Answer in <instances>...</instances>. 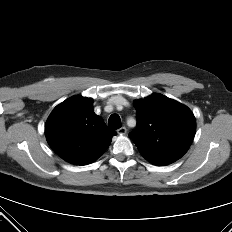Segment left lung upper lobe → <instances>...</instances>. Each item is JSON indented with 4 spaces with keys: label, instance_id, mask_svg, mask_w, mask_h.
I'll list each match as a JSON object with an SVG mask.
<instances>
[{
    "label": "left lung upper lobe",
    "instance_id": "5c2ea615",
    "mask_svg": "<svg viewBox=\"0 0 232 232\" xmlns=\"http://www.w3.org/2000/svg\"><path fill=\"white\" fill-rule=\"evenodd\" d=\"M137 130L129 134L141 155L154 165H168L189 149L196 120L183 104L161 94L134 102Z\"/></svg>",
    "mask_w": 232,
    "mask_h": 232
}]
</instances>
